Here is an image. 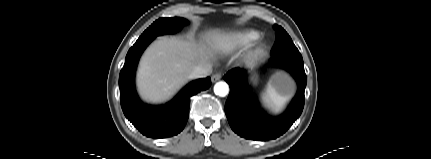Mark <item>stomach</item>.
<instances>
[{"mask_svg":"<svg viewBox=\"0 0 431 159\" xmlns=\"http://www.w3.org/2000/svg\"><path fill=\"white\" fill-rule=\"evenodd\" d=\"M270 85L275 89V91L282 95L289 97L294 92L293 81L282 74H276L272 77Z\"/></svg>","mask_w":431,"mask_h":159,"instance_id":"0dacf381","label":"stomach"}]
</instances>
